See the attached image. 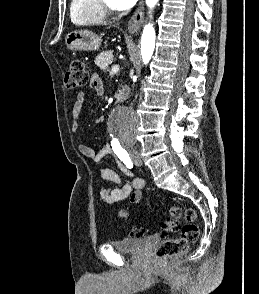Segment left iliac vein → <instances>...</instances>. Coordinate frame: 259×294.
<instances>
[{"label":"left iliac vein","mask_w":259,"mask_h":294,"mask_svg":"<svg viewBox=\"0 0 259 294\" xmlns=\"http://www.w3.org/2000/svg\"><path fill=\"white\" fill-rule=\"evenodd\" d=\"M130 155H131V158L134 161L135 165H137V166L142 165V161L140 159V156H139V153L137 150L130 151Z\"/></svg>","instance_id":"4c4485c4"}]
</instances>
